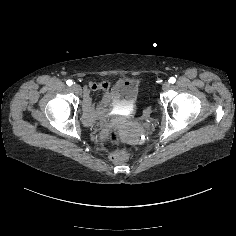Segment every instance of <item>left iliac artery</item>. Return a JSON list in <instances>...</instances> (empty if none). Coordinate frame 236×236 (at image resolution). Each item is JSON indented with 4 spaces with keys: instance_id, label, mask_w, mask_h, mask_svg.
<instances>
[{
    "instance_id": "obj_1",
    "label": "left iliac artery",
    "mask_w": 236,
    "mask_h": 236,
    "mask_svg": "<svg viewBox=\"0 0 236 236\" xmlns=\"http://www.w3.org/2000/svg\"><path fill=\"white\" fill-rule=\"evenodd\" d=\"M175 81H176V79L174 78V77H171L170 79H169V83H175Z\"/></svg>"
}]
</instances>
